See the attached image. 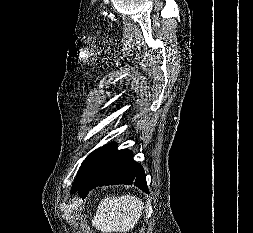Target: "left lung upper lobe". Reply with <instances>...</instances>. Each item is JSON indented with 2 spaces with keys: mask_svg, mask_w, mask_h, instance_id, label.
I'll return each mask as SVG.
<instances>
[{
  "mask_svg": "<svg viewBox=\"0 0 253 233\" xmlns=\"http://www.w3.org/2000/svg\"><path fill=\"white\" fill-rule=\"evenodd\" d=\"M103 147L98 148L86 157L79 168L73 186L81 182L90 173Z\"/></svg>",
  "mask_w": 253,
  "mask_h": 233,
  "instance_id": "left-lung-upper-lobe-1",
  "label": "left lung upper lobe"
}]
</instances>
